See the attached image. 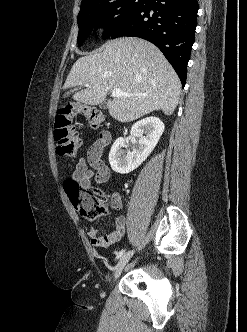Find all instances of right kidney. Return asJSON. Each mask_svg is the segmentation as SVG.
Here are the masks:
<instances>
[{
  "mask_svg": "<svg viewBox=\"0 0 247 332\" xmlns=\"http://www.w3.org/2000/svg\"><path fill=\"white\" fill-rule=\"evenodd\" d=\"M164 123L157 117H147L136 122L130 134L139 138L133 151L124 152L128 141L117 138L109 153V163L116 173L127 174L138 168L150 155L164 132Z\"/></svg>",
  "mask_w": 247,
  "mask_h": 332,
  "instance_id": "ca27d5eb",
  "label": "right kidney"
}]
</instances>
